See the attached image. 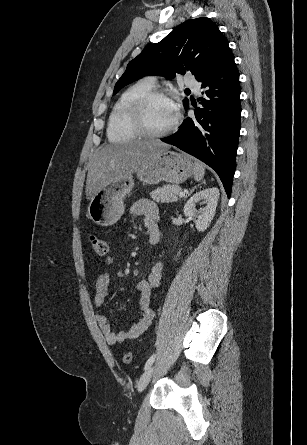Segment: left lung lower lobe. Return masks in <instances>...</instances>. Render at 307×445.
Listing matches in <instances>:
<instances>
[{
    "mask_svg": "<svg viewBox=\"0 0 307 445\" xmlns=\"http://www.w3.org/2000/svg\"><path fill=\"white\" fill-rule=\"evenodd\" d=\"M195 118H186L179 130L162 141L195 156L219 175L230 197L236 167V152L240 132L239 72L234 56L207 79Z\"/></svg>",
    "mask_w": 307,
    "mask_h": 445,
    "instance_id": "1",
    "label": "left lung lower lobe"
}]
</instances>
